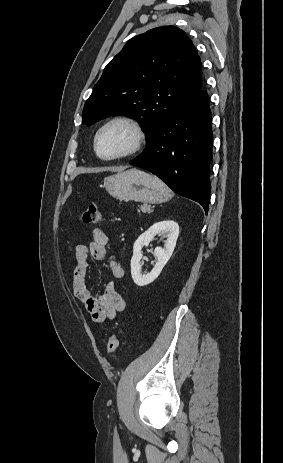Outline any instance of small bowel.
Segmentation results:
<instances>
[{
    "mask_svg": "<svg viewBox=\"0 0 283 463\" xmlns=\"http://www.w3.org/2000/svg\"><path fill=\"white\" fill-rule=\"evenodd\" d=\"M108 244L109 237L106 232L101 228H96L92 232V241L89 244H79L75 248L72 292L83 303L92 320L98 323L113 319L126 307L125 300L116 290L113 282L106 285L104 293L99 297L93 296L86 285V276L89 270L88 257L91 256L96 260L103 259ZM109 267L115 279L125 277V269L116 259H110Z\"/></svg>",
    "mask_w": 283,
    "mask_h": 463,
    "instance_id": "1",
    "label": "small bowel"
}]
</instances>
